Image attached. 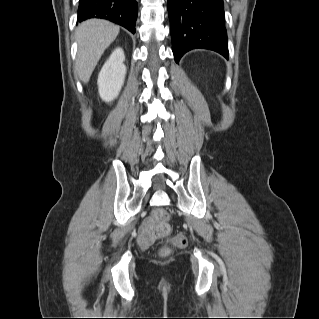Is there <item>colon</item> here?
<instances>
[{
    "label": "colon",
    "instance_id": "obj_1",
    "mask_svg": "<svg viewBox=\"0 0 319 319\" xmlns=\"http://www.w3.org/2000/svg\"><path fill=\"white\" fill-rule=\"evenodd\" d=\"M149 226L154 230L156 238L166 239L167 247L164 249V253H167L170 247L184 248L186 246L187 239L181 233L168 238L170 223L168 221V214L164 209H159L155 212L149 220Z\"/></svg>",
    "mask_w": 319,
    "mask_h": 319
}]
</instances>
